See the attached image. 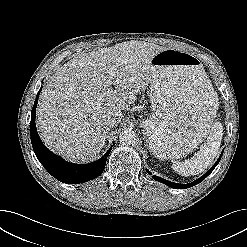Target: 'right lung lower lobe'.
Instances as JSON below:
<instances>
[{
	"label": "right lung lower lobe",
	"mask_w": 247,
	"mask_h": 247,
	"mask_svg": "<svg viewBox=\"0 0 247 247\" xmlns=\"http://www.w3.org/2000/svg\"><path fill=\"white\" fill-rule=\"evenodd\" d=\"M42 89V88H41ZM41 89L37 93L34 106L31 111L30 136L33 150L36 157L44 168L57 180L67 184L84 183L100 176L105 168L110 149L99 160L88 164H73L63 160L61 157L53 154L42 143L36 129L35 114L36 106Z\"/></svg>",
	"instance_id": "right-lung-lower-lobe-1"
}]
</instances>
